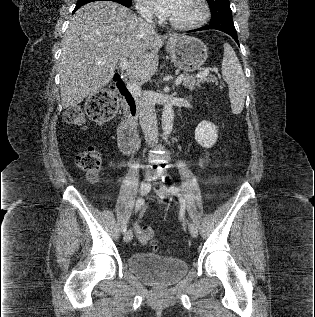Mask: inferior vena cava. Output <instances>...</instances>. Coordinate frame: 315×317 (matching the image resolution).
I'll use <instances>...</instances> for the list:
<instances>
[{
    "label": "inferior vena cava",
    "mask_w": 315,
    "mask_h": 317,
    "mask_svg": "<svg viewBox=\"0 0 315 317\" xmlns=\"http://www.w3.org/2000/svg\"><path fill=\"white\" fill-rule=\"evenodd\" d=\"M142 17L147 21V23L152 28H155L151 14L143 13ZM139 119L146 142L148 144H152V142L156 141L157 139L158 128L155 113V105L148 92H144L139 102Z\"/></svg>",
    "instance_id": "1"
}]
</instances>
